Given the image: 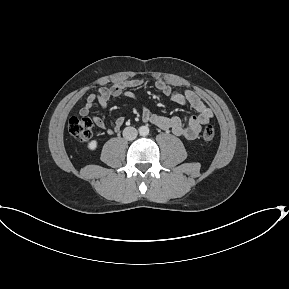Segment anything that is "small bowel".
<instances>
[{
    "label": "small bowel",
    "instance_id": "c3829d8e",
    "mask_svg": "<svg viewBox=\"0 0 289 289\" xmlns=\"http://www.w3.org/2000/svg\"><path fill=\"white\" fill-rule=\"evenodd\" d=\"M143 84L144 81L142 79L136 78L119 80L110 87H101L96 93L88 96L85 105L80 109V115H89L94 104H98L103 107L107 106L111 98L124 96L131 99H137V96L132 90L141 87ZM155 87L171 101L179 105H188L197 113L190 116L187 123H183L178 117H168L154 114L146 106H143V120L150 122L161 129L170 130L176 136L188 140L195 139L199 135L202 127L209 123L213 117L212 110L192 90H174L161 80L156 82ZM93 120L99 128L105 130L110 135L118 132L125 123L124 117L117 118L114 125H107L105 121L98 116H94Z\"/></svg>",
    "mask_w": 289,
    "mask_h": 289
}]
</instances>
